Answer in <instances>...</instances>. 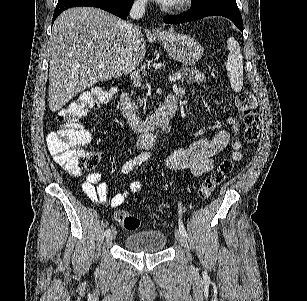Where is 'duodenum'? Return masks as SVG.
I'll use <instances>...</instances> for the list:
<instances>
[{
	"label": "duodenum",
	"instance_id": "obj_1",
	"mask_svg": "<svg viewBox=\"0 0 307 301\" xmlns=\"http://www.w3.org/2000/svg\"><path fill=\"white\" fill-rule=\"evenodd\" d=\"M179 99V94H170L153 114L142 118L132 105L130 92L125 90L120 96V108L123 116L134 131L138 133H149L164 122L170 120L176 114Z\"/></svg>",
	"mask_w": 307,
	"mask_h": 301
}]
</instances>
